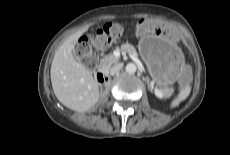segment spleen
I'll list each match as a JSON object with an SVG mask.
<instances>
[{"label": "spleen", "mask_w": 230, "mask_h": 155, "mask_svg": "<svg viewBox=\"0 0 230 155\" xmlns=\"http://www.w3.org/2000/svg\"><path fill=\"white\" fill-rule=\"evenodd\" d=\"M190 91H191V87L189 85L181 89L178 96L172 100L170 104V108L177 107L182 101H184L188 97V95L190 94Z\"/></svg>", "instance_id": "1"}]
</instances>
